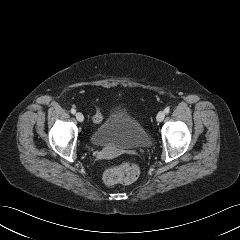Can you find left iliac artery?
Segmentation results:
<instances>
[{
    "label": "left iliac artery",
    "instance_id": "obj_1",
    "mask_svg": "<svg viewBox=\"0 0 240 240\" xmlns=\"http://www.w3.org/2000/svg\"><path fill=\"white\" fill-rule=\"evenodd\" d=\"M164 112H165L166 114H168V113L170 112V108H169V107H166V108L164 109Z\"/></svg>",
    "mask_w": 240,
    "mask_h": 240
}]
</instances>
